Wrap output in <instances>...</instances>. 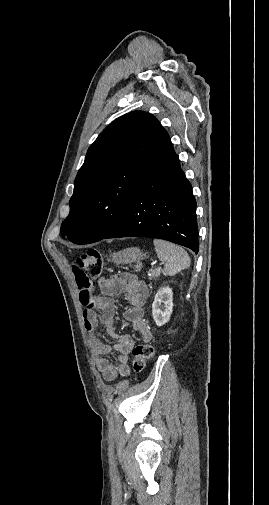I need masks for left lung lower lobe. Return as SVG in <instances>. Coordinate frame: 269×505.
<instances>
[{
    "label": "left lung lower lobe",
    "mask_w": 269,
    "mask_h": 505,
    "mask_svg": "<svg viewBox=\"0 0 269 505\" xmlns=\"http://www.w3.org/2000/svg\"><path fill=\"white\" fill-rule=\"evenodd\" d=\"M119 237L160 238L198 252L196 200L164 128L155 139L124 214L104 238Z\"/></svg>",
    "instance_id": "obj_1"
}]
</instances>
